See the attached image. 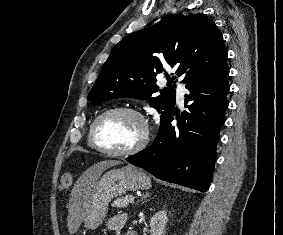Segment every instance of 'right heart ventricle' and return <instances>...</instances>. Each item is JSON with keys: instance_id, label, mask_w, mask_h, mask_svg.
Listing matches in <instances>:
<instances>
[{"instance_id": "right-heart-ventricle-1", "label": "right heart ventricle", "mask_w": 283, "mask_h": 235, "mask_svg": "<svg viewBox=\"0 0 283 235\" xmlns=\"http://www.w3.org/2000/svg\"><path fill=\"white\" fill-rule=\"evenodd\" d=\"M88 143H89V145L91 146V143H90V138H89V136H88Z\"/></svg>"}]
</instances>
